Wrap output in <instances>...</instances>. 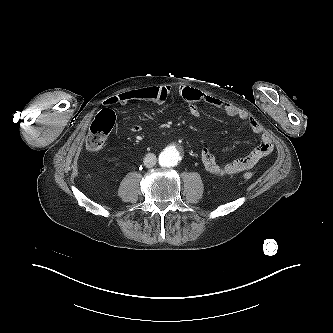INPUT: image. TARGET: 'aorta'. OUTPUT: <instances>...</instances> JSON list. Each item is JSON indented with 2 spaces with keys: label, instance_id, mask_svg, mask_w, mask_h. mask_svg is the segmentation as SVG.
Listing matches in <instances>:
<instances>
[{
  "label": "aorta",
  "instance_id": "obj_1",
  "mask_svg": "<svg viewBox=\"0 0 333 333\" xmlns=\"http://www.w3.org/2000/svg\"><path fill=\"white\" fill-rule=\"evenodd\" d=\"M179 153L174 149H166L159 155V164L162 167H174L178 164Z\"/></svg>",
  "mask_w": 333,
  "mask_h": 333
}]
</instances>
